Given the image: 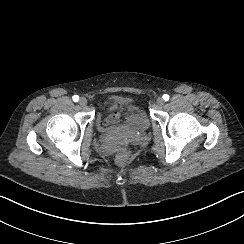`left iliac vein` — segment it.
Segmentation results:
<instances>
[{"label": "left iliac vein", "mask_w": 244, "mask_h": 244, "mask_svg": "<svg viewBox=\"0 0 244 244\" xmlns=\"http://www.w3.org/2000/svg\"><path fill=\"white\" fill-rule=\"evenodd\" d=\"M156 103L158 106L162 107L164 105V100L161 97H158Z\"/></svg>", "instance_id": "obj_1"}]
</instances>
